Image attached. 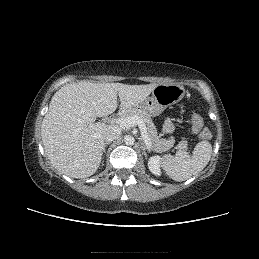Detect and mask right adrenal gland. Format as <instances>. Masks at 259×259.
<instances>
[{"label":"right adrenal gland","mask_w":259,"mask_h":259,"mask_svg":"<svg viewBox=\"0 0 259 259\" xmlns=\"http://www.w3.org/2000/svg\"><path fill=\"white\" fill-rule=\"evenodd\" d=\"M107 144H110V142L104 143V149H103L104 152H105V147L107 146Z\"/></svg>","instance_id":"1"}]
</instances>
